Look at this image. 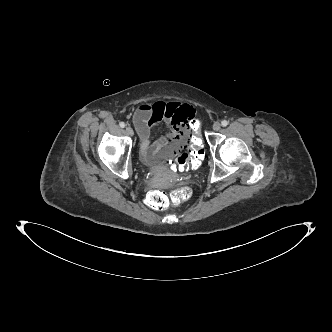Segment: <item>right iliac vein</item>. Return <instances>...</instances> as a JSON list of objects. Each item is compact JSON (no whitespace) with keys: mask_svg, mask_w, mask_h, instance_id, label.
Segmentation results:
<instances>
[{"mask_svg":"<svg viewBox=\"0 0 332 332\" xmlns=\"http://www.w3.org/2000/svg\"><path fill=\"white\" fill-rule=\"evenodd\" d=\"M125 130H126V133H127L129 136H133L134 131H133V129H132L130 126H127Z\"/></svg>","mask_w":332,"mask_h":332,"instance_id":"obj_1","label":"right iliac vein"}]
</instances>
